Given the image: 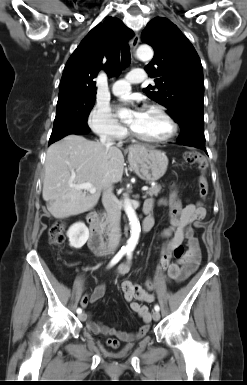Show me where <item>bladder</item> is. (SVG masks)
<instances>
[{
    "label": "bladder",
    "mask_w": 247,
    "mask_h": 385,
    "mask_svg": "<svg viewBox=\"0 0 247 385\" xmlns=\"http://www.w3.org/2000/svg\"><path fill=\"white\" fill-rule=\"evenodd\" d=\"M129 348H131V345H129V346L127 347V349H129Z\"/></svg>",
    "instance_id": "bladder-1"
}]
</instances>
